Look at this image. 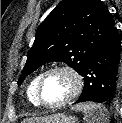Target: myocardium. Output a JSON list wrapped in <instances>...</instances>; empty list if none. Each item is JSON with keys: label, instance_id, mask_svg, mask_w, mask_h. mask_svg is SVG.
<instances>
[{"label": "myocardium", "instance_id": "obj_1", "mask_svg": "<svg viewBox=\"0 0 122 123\" xmlns=\"http://www.w3.org/2000/svg\"><path fill=\"white\" fill-rule=\"evenodd\" d=\"M54 72H65L67 73L73 80V88L72 91L70 92V94L63 100L56 102V103H47L42 96V86L44 83V80L46 79V77ZM83 85H84V80H83V76L81 75V73L75 69L72 66L69 65H58V66H54L48 70H46L45 72L42 73L38 84H37V98L38 101L40 102V104L44 107L47 108H59L62 106H65L67 104H69L70 102H72L76 97H78V95L81 93L82 89H83Z\"/></svg>", "mask_w": 122, "mask_h": 123}]
</instances>
